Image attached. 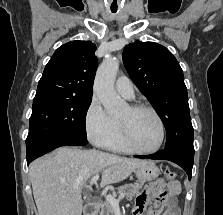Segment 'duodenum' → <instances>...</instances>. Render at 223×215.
Here are the masks:
<instances>
[{"instance_id":"1","label":"duodenum","mask_w":223,"mask_h":215,"mask_svg":"<svg viewBox=\"0 0 223 215\" xmlns=\"http://www.w3.org/2000/svg\"><path fill=\"white\" fill-rule=\"evenodd\" d=\"M98 208L94 200H87L84 205V215H97Z\"/></svg>"}]
</instances>
